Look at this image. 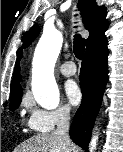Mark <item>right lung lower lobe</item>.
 Masks as SVG:
<instances>
[{
    "label": "right lung lower lobe",
    "instance_id": "1",
    "mask_svg": "<svg viewBox=\"0 0 123 152\" xmlns=\"http://www.w3.org/2000/svg\"><path fill=\"white\" fill-rule=\"evenodd\" d=\"M107 40L86 50L85 60L80 71L82 103L78 108L70 128L74 143L88 151V143L99 111L104 89L108 80Z\"/></svg>",
    "mask_w": 123,
    "mask_h": 152
}]
</instances>
